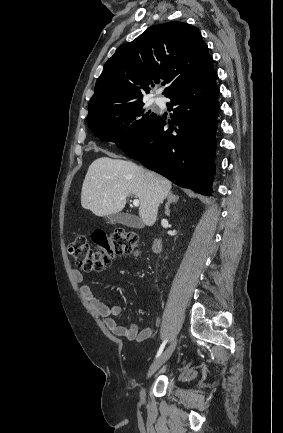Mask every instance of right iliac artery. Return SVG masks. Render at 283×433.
<instances>
[{"label":"right iliac artery","instance_id":"82829eb1","mask_svg":"<svg viewBox=\"0 0 283 433\" xmlns=\"http://www.w3.org/2000/svg\"><path fill=\"white\" fill-rule=\"evenodd\" d=\"M166 343H167V340H165V341L161 344V346H160V348H159V350H158V352H157V354H156V358H158V357L162 354L163 349H164Z\"/></svg>","mask_w":283,"mask_h":433}]
</instances>
